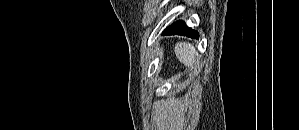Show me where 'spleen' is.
Returning a JSON list of instances; mask_svg holds the SVG:
<instances>
[{"mask_svg":"<svg viewBox=\"0 0 299 130\" xmlns=\"http://www.w3.org/2000/svg\"><path fill=\"white\" fill-rule=\"evenodd\" d=\"M174 51L178 60L188 67L192 66L198 58L195 47L189 42H178Z\"/></svg>","mask_w":299,"mask_h":130,"instance_id":"obj_1","label":"spleen"}]
</instances>
